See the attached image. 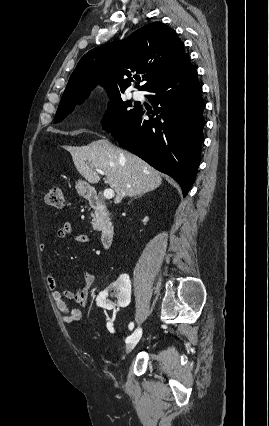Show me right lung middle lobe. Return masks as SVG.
Here are the masks:
<instances>
[{
	"label": "right lung middle lobe",
	"instance_id": "dd1d6c3e",
	"mask_svg": "<svg viewBox=\"0 0 269 426\" xmlns=\"http://www.w3.org/2000/svg\"><path fill=\"white\" fill-rule=\"evenodd\" d=\"M88 96H78L63 98L59 104L55 123L62 121L69 113H71L76 105L81 104ZM110 102L109 108L102 120L103 129L112 131L118 128L124 120L132 114L136 108L129 109L131 107L130 102H123L121 99V93L109 95Z\"/></svg>",
	"mask_w": 269,
	"mask_h": 426
}]
</instances>
